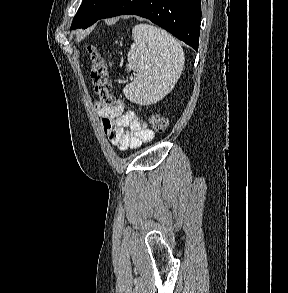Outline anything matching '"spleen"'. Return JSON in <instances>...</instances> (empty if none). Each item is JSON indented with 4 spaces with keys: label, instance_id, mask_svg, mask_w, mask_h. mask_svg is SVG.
Instances as JSON below:
<instances>
[{
    "label": "spleen",
    "instance_id": "obj_1",
    "mask_svg": "<svg viewBox=\"0 0 288 293\" xmlns=\"http://www.w3.org/2000/svg\"><path fill=\"white\" fill-rule=\"evenodd\" d=\"M132 36L127 68L137 76L123 92L132 102L156 103L173 89L182 73V46L165 30L148 24L135 25Z\"/></svg>",
    "mask_w": 288,
    "mask_h": 293
}]
</instances>
